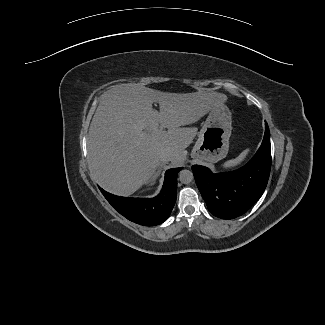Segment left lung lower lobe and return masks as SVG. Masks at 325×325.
<instances>
[{
	"mask_svg": "<svg viewBox=\"0 0 325 325\" xmlns=\"http://www.w3.org/2000/svg\"><path fill=\"white\" fill-rule=\"evenodd\" d=\"M271 169L268 124L255 156L242 168L214 174L207 167L193 165L197 187L208 209L216 217L233 219L244 214L262 196Z\"/></svg>",
	"mask_w": 325,
	"mask_h": 325,
	"instance_id": "left-lung-lower-lobe-1",
	"label": "left lung lower lobe"
}]
</instances>
